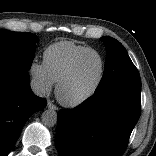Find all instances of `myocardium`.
<instances>
[{"label": "myocardium", "instance_id": "f54148a6", "mask_svg": "<svg viewBox=\"0 0 156 156\" xmlns=\"http://www.w3.org/2000/svg\"><path fill=\"white\" fill-rule=\"evenodd\" d=\"M89 54H96L99 59H100V63H101V71H100V75L99 78L96 82V84L83 96L72 100V101H68L65 100L62 96H61V89L63 88V86L72 78L79 62L87 55ZM105 72H106V64H105V60L104 57L102 56V54L95 50V49H89L86 50L82 53H80L71 63V65L69 66V68L67 69V71L63 74V76L58 80L57 84H56V88H55V96L57 98V100L59 101L60 104H62L65 107L68 108H75L78 107L84 103H86L88 100H90L100 89L104 78H105Z\"/></svg>", "mask_w": 156, "mask_h": 156}]
</instances>
